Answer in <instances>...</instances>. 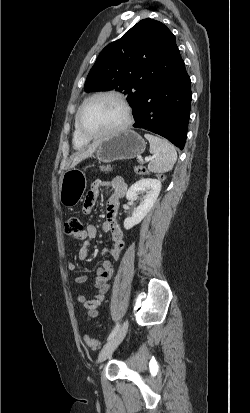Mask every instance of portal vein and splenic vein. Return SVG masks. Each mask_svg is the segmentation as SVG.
<instances>
[{"label": "portal vein and splenic vein", "mask_w": 250, "mask_h": 413, "mask_svg": "<svg viewBox=\"0 0 250 413\" xmlns=\"http://www.w3.org/2000/svg\"><path fill=\"white\" fill-rule=\"evenodd\" d=\"M152 158H153V157H146V158H145V161L148 162V161H150Z\"/></svg>", "instance_id": "18ae733b"}]
</instances>
